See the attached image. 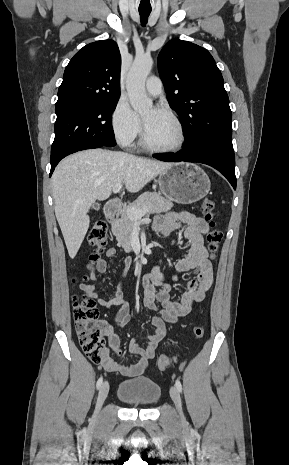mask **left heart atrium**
I'll use <instances>...</instances> for the list:
<instances>
[{"mask_svg":"<svg viewBox=\"0 0 289 465\" xmlns=\"http://www.w3.org/2000/svg\"><path fill=\"white\" fill-rule=\"evenodd\" d=\"M158 111V109H154V112Z\"/></svg>","mask_w":289,"mask_h":465,"instance_id":"obj_1","label":"left heart atrium"}]
</instances>
